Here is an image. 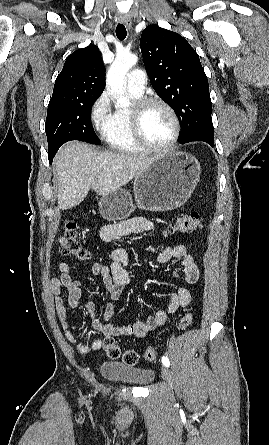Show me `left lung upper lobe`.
I'll use <instances>...</instances> for the list:
<instances>
[{"label":"left lung upper lobe","mask_w":269,"mask_h":445,"mask_svg":"<svg viewBox=\"0 0 269 445\" xmlns=\"http://www.w3.org/2000/svg\"><path fill=\"white\" fill-rule=\"evenodd\" d=\"M140 47L156 93L173 108L181 144L214 139L208 79L196 51L178 33L147 26Z\"/></svg>","instance_id":"left-lung-upper-lobe-1"}]
</instances>
